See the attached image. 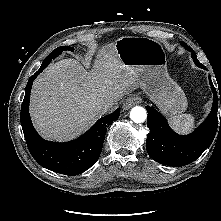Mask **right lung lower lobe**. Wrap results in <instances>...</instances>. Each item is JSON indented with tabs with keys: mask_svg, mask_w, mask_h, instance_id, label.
Segmentation results:
<instances>
[{
	"mask_svg": "<svg viewBox=\"0 0 221 221\" xmlns=\"http://www.w3.org/2000/svg\"><path fill=\"white\" fill-rule=\"evenodd\" d=\"M50 62H43L40 69L29 78L21 106V125L28 149L42 167L60 174L74 176L83 173L98 160L107 127L118 119L119 109L100 118L85 134L73 141L56 143L44 140L31 123L29 99L33 81Z\"/></svg>",
	"mask_w": 221,
	"mask_h": 221,
	"instance_id": "right-lung-lower-lobe-1",
	"label": "right lung lower lobe"
}]
</instances>
